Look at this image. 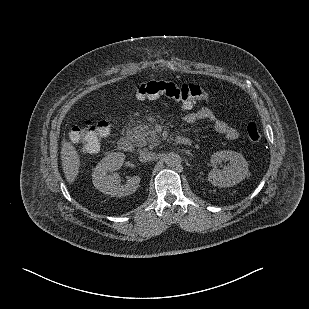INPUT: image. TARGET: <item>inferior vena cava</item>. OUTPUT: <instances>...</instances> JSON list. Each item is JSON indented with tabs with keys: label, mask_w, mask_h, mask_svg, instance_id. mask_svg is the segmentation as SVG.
Returning <instances> with one entry per match:
<instances>
[{
	"label": "inferior vena cava",
	"mask_w": 309,
	"mask_h": 309,
	"mask_svg": "<svg viewBox=\"0 0 309 309\" xmlns=\"http://www.w3.org/2000/svg\"><path fill=\"white\" fill-rule=\"evenodd\" d=\"M156 158V154L153 152L142 151L139 155V161L142 163L150 162Z\"/></svg>",
	"instance_id": "inferior-vena-cava-1"
}]
</instances>
